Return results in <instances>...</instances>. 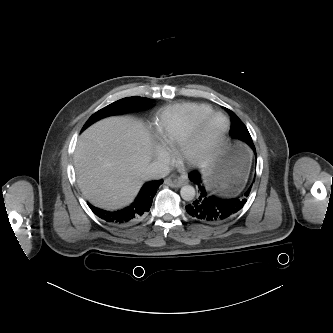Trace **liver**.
Segmentation results:
<instances>
[{
    "label": "liver",
    "instance_id": "obj_1",
    "mask_svg": "<svg viewBox=\"0 0 333 333\" xmlns=\"http://www.w3.org/2000/svg\"><path fill=\"white\" fill-rule=\"evenodd\" d=\"M151 159V137L144 123L110 117L79 137L74 167L83 195L93 205L113 210L130 203L143 184Z\"/></svg>",
    "mask_w": 333,
    "mask_h": 333
}]
</instances>
